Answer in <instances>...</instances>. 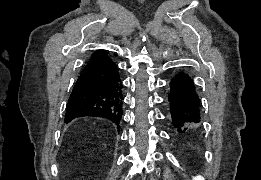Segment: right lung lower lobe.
Returning a JSON list of instances; mask_svg holds the SVG:
<instances>
[{
	"instance_id": "right-lung-lower-lobe-1",
	"label": "right lung lower lobe",
	"mask_w": 261,
	"mask_h": 180,
	"mask_svg": "<svg viewBox=\"0 0 261 180\" xmlns=\"http://www.w3.org/2000/svg\"><path fill=\"white\" fill-rule=\"evenodd\" d=\"M122 83L111 60L83 69L69 96L65 122L85 116L104 117L119 128L122 116Z\"/></svg>"
}]
</instances>
